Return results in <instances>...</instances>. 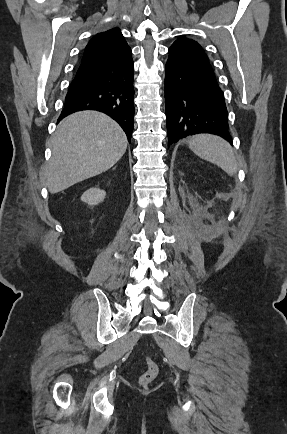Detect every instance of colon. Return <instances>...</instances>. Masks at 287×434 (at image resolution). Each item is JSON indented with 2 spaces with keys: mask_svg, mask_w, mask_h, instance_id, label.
I'll return each instance as SVG.
<instances>
[{
  "mask_svg": "<svg viewBox=\"0 0 287 434\" xmlns=\"http://www.w3.org/2000/svg\"><path fill=\"white\" fill-rule=\"evenodd\" d=\"M146 362L147 370L139 379L140 384L144 387L148 386L158 375L157 364L151 358H147Z\"/></svg>",
  "mask_w": 287,
  "mask_h": 434,
  "instance_id": "colon-1",
  "label": "colon"
}]
</instances>
